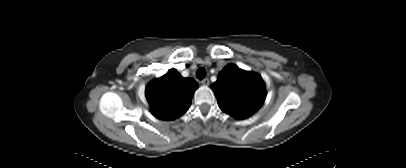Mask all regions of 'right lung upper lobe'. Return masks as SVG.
Returning <instances> with one entry per match:
<instances>
[{
  "label": "right lung upper lobe",
  "mask_w": 406,
  "mask_h": 168,
  "mask_svg": "<svg viewBox=\"0 0 406 168\" xmlns=\"http://www.w3.org/2000/svg\"><path fill=\"white\" fill-rule=\"evenodd\" d=\"M198 84L192 78H183L176 69L151 81L146 87V98L151 113L162 120H174L190 107Z\"/></svg>",
  "instance_id": "right-lung-upper-lobe-1"
}]
</instances>
